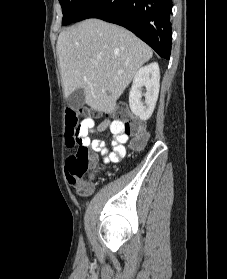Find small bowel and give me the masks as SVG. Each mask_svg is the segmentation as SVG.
Instances as JSON below:
<instances>
[{
    "mask_svg": "<svg viewBox=\"0 0 227 279\" xmlns=\"http://www.w3.org/2000/svg\"><path fill=\"white\" fill-rule=\"evenodd\" d=\"M106 129H109L112 135V148H107L104 141L97 138L89 140V147L93 152L101 155L104 164L115 163L126 155L125 144L128 140V134L119 122L107 117L100 118L98 122L95 120L88 121L87 130L92 134L103 133ZM72 181L75 182L73 179Z\"/></svg>",
    "mask_w": 227,
    "mask_h": 279,
    "instance_id": "c3829d8e",
    "label": "small bowel"
}]
</instances>
